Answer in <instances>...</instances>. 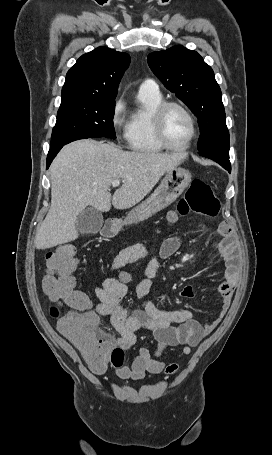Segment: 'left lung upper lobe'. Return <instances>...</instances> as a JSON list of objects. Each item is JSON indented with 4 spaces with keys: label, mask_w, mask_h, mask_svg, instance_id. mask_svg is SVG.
<instances>
[{
    "label": "left lung upper lobe",
    "mask_w": 272,
    "mask_h": 455,
    "mask_svg": "<svg viewBox=\"0 0 272 455\" xmlns=\"http://www.w3.org/2000/svg\"><path fill=\"white\" fill-rule=\"evenodd\" d=\"M148 64L160 81L197 116L199 152L229 145L221 90L214 72L194 50L178 45L148 55Z\"/></svg>",
    "instance_id": "obj_1"
}]
</instances>
